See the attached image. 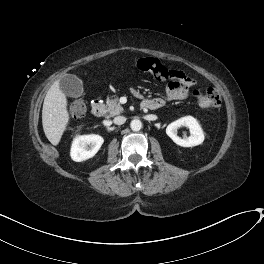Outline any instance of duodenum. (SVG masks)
<instances>
[{
    "label": "duodenum",
    "instance_id": "410a0bca",
    "mask_svg": "<svg viewBox=\"0 0 264 264\" xmlns=\"http://www.w3.org/2000/svg\"><path fill=\"white\" fill-rule=\"evenodd\" d=\"M142 109H145V107H142ZM106 111V106L103 100L96 99L92 104V114L96 118H101L104 116Z\"/></svg>",
    "mask_w": 264,
    "mask_h": 264
}]
</instances>
